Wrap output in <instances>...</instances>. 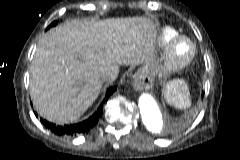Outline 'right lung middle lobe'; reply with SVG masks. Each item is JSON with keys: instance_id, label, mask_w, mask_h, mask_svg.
Instances as JSON below:
<instances>
[{"instance_id": "1", "label": "right lung middle lobe", "mask_w": 240, "mask_h": 160, "mask_svg": "<svg viewBox=\"0 0 240 160\" xmlns=\"http://www.w3.org/2000/svg\"><path fill=\"white\" fill-rule=\"evenodd\" d=\"M57 24V22L56 21H54V22H52L49 26H48V28L47 29H49L50 27H52V26H55Z\"/></svg>"}]
</instances>
